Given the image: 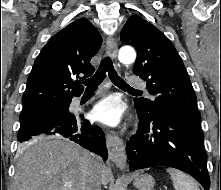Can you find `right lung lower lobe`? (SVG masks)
<instances>
[{
  "label": "right lung lower lobe",
  "instance_id": "right-lung-lower-lobe-1",
  "mask_svg": "<svg viewBox=\"0 0 221 190\" xmlns=\"http://www.w3.org/2000/svg\"><path fill=\"white\" fill-rule=\"evenodd\" d=\"M70 103L71 100L60 109L21 126L18 141H28L40 134L63 136L100 155L106 161L108 152L104 132L84 119L83 114L69 112Z\"/></svg>",
  "mask_w": 221,
  "mask_h": 190
}]
</instances>
